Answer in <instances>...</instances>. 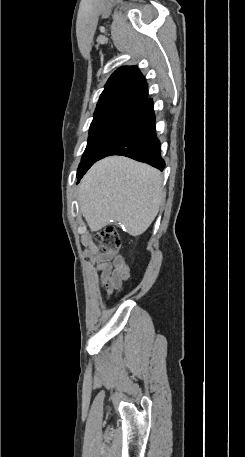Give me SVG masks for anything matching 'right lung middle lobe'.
<instances>
[{"instance_id":"1","label":"right lung middle lobe","mask_w":245,"mask_h":457,"mask_svg":"<svg viewBox=\"0 0 245 457\" xmlns=\"http://www.w3.org/2000/svg\"><path fill=\"white\" fill-rule=\"evenodd\" d=\"M129 111H111L94 113V119L89 130L86 150L82 156L77 171L80 179L86 171L97 161L98 156L120 128Z\"/></svg>"}]
</instances>
